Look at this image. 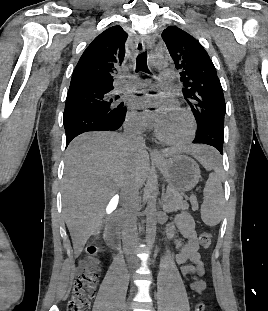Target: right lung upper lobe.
<instances>
[{
    "label": "right lung upper lobe",
    "mask_w": 268,
    "mask_h": 311,
    "mask_svg": "<svg viewBox=\"0 0 268 311\" xmlns=\"http://www.w3.org/2000/svg\"><path fill=\"white\" fill-rule=\"evenodd\" d=\"M127 37L128 34L119 25L98 35L78 61L69 89L91 87L113 90V75L123 62Z\"/></svg>",
    "instance_id": "right-lung-upper-lobe-1"
}]
</instances>
